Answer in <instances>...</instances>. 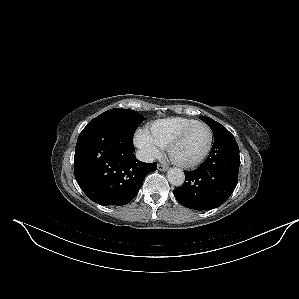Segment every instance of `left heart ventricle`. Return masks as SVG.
Listing matches in <instances>:
<instances>
[{
  "label": "left heart ventricle",
  "mask_w": 299,
  "mask_h": 299,
  "mask_svg": "<svg viewBox=\"0 0 299 299\" xmlns=\"http://www.w3.org/2000/svg\"><path fill=\"white\" fill-rule=\"evenodd\" d=\"M209 132L204 126H196L187 133L184 139L174 148L176 159L189 162L197 159L206 149Z\"/></svg>",
  "instance_id": "obj_1"
}]
</instances>
